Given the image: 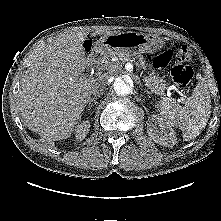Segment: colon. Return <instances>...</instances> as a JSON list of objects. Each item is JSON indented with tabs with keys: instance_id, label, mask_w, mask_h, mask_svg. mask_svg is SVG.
I'll use <instances>...</instances> for the list:
<instances>
[{
	"instance_id": "5ec220e1",
	"label": "colon",
	"mask_w": 221,
	"mask_h": 221,
	"mask_svg": "<svg viewBox=\"0 0 221 221\" xmlns=\"http://www.w3.org/2000/svg\"><path fill=\"white\" fill-rule=\"evenodd\" d=\"M170 59L171 55L169 52L158 54L154 57L153 64L156 67H163L168 64ZM192 60L193 53L191 49L188 46H182L177 53V61L170 68L171 77L177 85L185 86L191 81L193 71L189 66L184 65V63L191 62Z\"/></svg>"
}]
</instances>
